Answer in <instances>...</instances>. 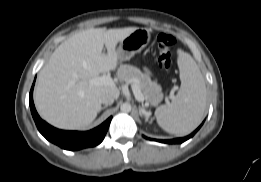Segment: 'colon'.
<instances>
[{
    "label": "colon",
    "instance_id": "obj_1",
    "mask_svg": "<svg viewBox=\"0 0 261 182\" xmlns=\"http://www.w3.org/2000/svg\"><path fill=\"white\" fill-rule=\"evenodd\" d=\"M158 47V62L162 69H169L171 66V48L175 39L167 33H159L156 38Z\"/></svg>",
    "mask_w": 261,
    "mask_h": 182
}]
</instances>
